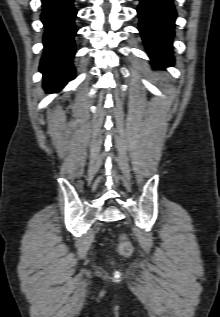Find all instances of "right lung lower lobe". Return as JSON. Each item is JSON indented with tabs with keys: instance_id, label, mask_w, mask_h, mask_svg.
I'll use <instances>...</instances> for the list:
<instances>
[{
	"instance_id": "1",
	"label": "right lung lower lobe",
	"mask_w": 220,
	"mask_h": 317,
	"mask_svg": "<svg viewBox=\"0 0 220 317\" xmlns=\"http://www.w3.org/2000/svg\"><path fill=\"white\" fill-rule=\"evenodd\" d=\"M74 0H42L41 20L45 27L44 54L40 71L43 73V87L48 92L62 89L74 78L72 64L76 27L74 18L77 11Z\"/></svg>"
}]
</instances>
